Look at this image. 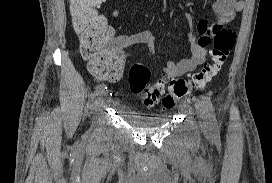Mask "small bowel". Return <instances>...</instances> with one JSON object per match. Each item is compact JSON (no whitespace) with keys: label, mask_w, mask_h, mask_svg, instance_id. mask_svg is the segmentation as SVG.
<instances>
[{"label":"small bowel","mask_w":272,"mask_h":183,"mask_svg":"<svg viewBox=\"0 0 272 183\" xmlns=\"http://www.w3.org/2000/svg\"><path fill=\"white\" fill-rule=\"evenodd\" d=\"M244 8L243 0H217L213 4V10L217 15L215 25H210L207 21L201 20L198 23V31L200 37H196L193 33L188 35L190 42L191 54L179 61H168L164 68V73L167 78L173 79L180 77L186 73L194 71L206 59L208 54L207 43L208 39H213L216 36L215 30H220V26L234 19L236 13ZM110 32L109 46L118 55L119 63L111 67L105 75L95 76L102 80L115 81L121 75L124 56L123 51L136 44H145L150 52H156V39L151 30H143L134 34L114 35V30L107 26ZM212 30V31H209Z\"/></svg>","instance_id":"c3829d8e"}]
</instances>
